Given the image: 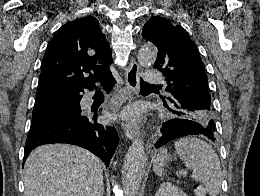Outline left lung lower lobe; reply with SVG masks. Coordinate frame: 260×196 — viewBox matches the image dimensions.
Segmentation results:
<instances>
[{
    "instance_id": "1",
    "label": "left lung lower lobe",
    "mask_w": 260,
    "mask_h": 196,
    "mask_svg": "<svg viewBox=\"0 0 260 196\" xmlns=\"http://www.w3.org/2000/svg\"><path fill=\"white\" fill-rule=\"evenodd\" d=\"M215 122L209 125H202L198 122L187 119H172L163 124L161 128L162 136L156 142L155 147L159 148L171 140L186 135H204L215 141Z\"/></svg>"
}]
</instances>
